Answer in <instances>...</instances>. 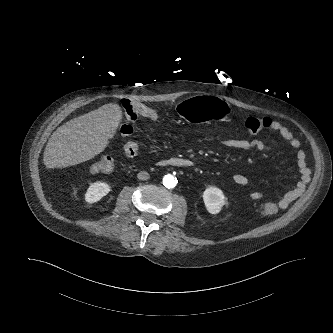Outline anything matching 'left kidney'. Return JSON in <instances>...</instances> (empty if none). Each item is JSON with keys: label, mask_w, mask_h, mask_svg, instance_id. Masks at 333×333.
<instances>
[{"label": "left kidney", "mask_w": 333, "mask_h": 333, "mask_svg": "<svg viewBox=\"0 0 333 333\" xmlns=\"http://www.w3.org/2000/svg\"><path fill=\"white\" fill-rule=\"evenodd\" d=\"M203 200L207 211L211 214H217L225 205V196L217 187H208L203 193Z\"/></svg>", "instance_id": "obj_1"}]
</instances>
